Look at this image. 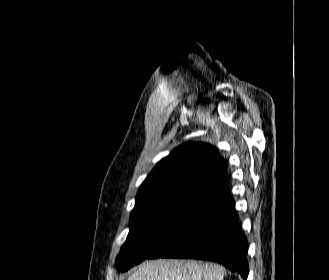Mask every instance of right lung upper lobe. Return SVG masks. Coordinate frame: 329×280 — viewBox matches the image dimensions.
I'll use <instances>...</instances> for the list:
<instances>
[{
	"instance_id": "right-lung-upper-lobe-1",
	"label": "right lung upper lobe",
	"mask_w": 329,
	"mask_h": 280,
	"mask_svg": "<svg viewBox=\"0 0 329 280\" xmlns=\"http://www.w3.org/2000/svg\"><path fill=\"white\" fill-rule=\"evenodd\" d=\"M225 182L224 160L218 150L206 143L188 142L157 163L140 186L132 214L171 197L208 200Z\"/></svg>"
}]
</instances>
